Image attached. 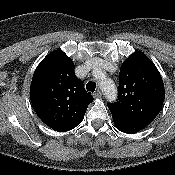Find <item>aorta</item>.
<instances>
[{
	"mask_svg": "<svg viewBox=\"0 0 175 175\" xmlns=\"http://www.w3.org/2000/svg\"><path fill=\"white\" fill-rule=\"evenodd\" d=\"M98 79L106 99L109 101H114L117 98V89L115 84L106 78L103 79L98 77Z\"/></svg>",
	"mask_w": 175,
	"mask_h": 175,
	"instance_id": "aorta-1",
	"label": "aorta"
}]
</instances>
